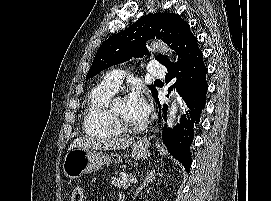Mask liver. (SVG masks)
Wrapping results in <instances>:
<instances>
[{
	"instance_id": "1",
	"label": "liver",
	"mask_w": 271,
	"mask_h": 201,
	"mask_svg": "<svg viewBox=\"0 0 271 201\" xmlns=\"http://www.w3.org/2000/svg\"><path fill=\"white\" fill-rule=\"evenodd\" d=\"M132 142V138L98 139L92 137H79L70 144L68 151L76 148L93 150H120L128 148Z\"/></svg>"
}]
</instances>
